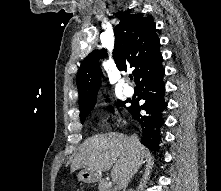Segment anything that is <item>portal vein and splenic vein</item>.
Here are the masks:
<instances>
[{"label":"portal vein and splenic vein","instance_id":"18ae733b","mask_svg":"<svg viewBox=\"0 0 221 191\" xmlns=\"http://www.w3.org/2000/svg\"><path fill=\"white\" fill-rule=\"evenodd\" d=\"M111 185H112V182H109V183H108V186H111Z\"/></svg>","mask_w":221,"mask_h":191}]
</instances>
